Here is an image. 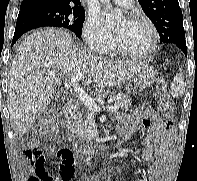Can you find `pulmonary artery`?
I'll return each instance as SVG.
<instances>
[{
	"mask_svg": "<svg viewBox=\"0 0 197 181\" xmlns=\"http://www.w3.org/2000/svg\"><path fill=\"white\" fill-rule=\"evenodd\" d=\"M116 4L123 6V7H129L132 5L133 0H113Z\"/></svg>",
	"mask_w": 197,
	"mask_h": 181,
	"instance_id": "e3ab8cb5",
	"label": "pulmonary artery"
}]
</instances>
